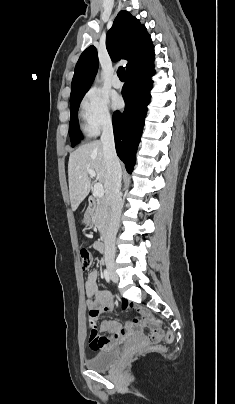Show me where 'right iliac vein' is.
Listing matches in <instances>:
<instances>
[{
    "mask_svg": "<svg viewBox=\"0 0 235 404\" xmlns=\"http://www.w3.org/2000/svg\"><path fill=\"white\" fill-rule=\"evenodd\" d=\"M106 266L107 270L109 272L110 278L112 279L113 282H118V275L115 271V264L112 260L106 259Z\"/></svg>",
    "mask_w": 235,
    "mask_h": 404,
    "instance_id": "1",
    "label": "right iliac vein"
}]
</instances>
